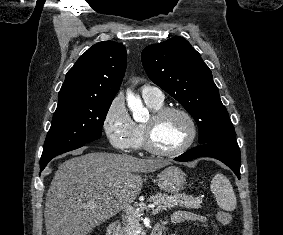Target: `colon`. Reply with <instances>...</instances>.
<instances>
[{
  "mask_svg": "<svg viewBox=\"0 0 283 235\" xmlns=\"http://www.w3.org/2000/svg\"><path fill=\"white\" fill-rule=\"evenodd\" d=\"M217 219L222 225H229L232 222V215L228 211H218Z\"/></svg>",
  "mask_w": 283,
  "mask_h": 235,
  "instance_id": "5ec220e1",
  "label": "colon"
}]
</instances>
